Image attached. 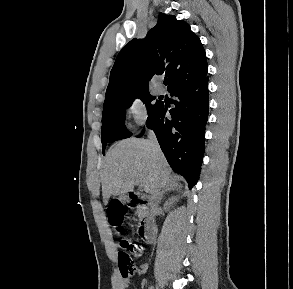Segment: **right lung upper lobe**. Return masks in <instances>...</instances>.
Segmentation results:
<instances>
[{
    "label": "right lung upper lobe",
    "instance_id": "obj_1",
    "mask_svg": "<svg viewBox=\"0 0 293 289\" xmlns=\"http://www.w3.org/2000/svg\"><path fill=\"white\" fill-rule=\"evenodd\" d=\"M207 68L204 48L189 24L162 13L144 40L134 38L118 54L104 103L148 92V82L155 75L168 77L170 91L203 79Z\"/></svg>",
    "mask_w": 293,
    "mask_h": 289
}]
</instances>
